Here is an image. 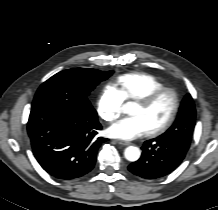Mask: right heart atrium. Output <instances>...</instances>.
<instances>
[{
  "label": "right heart atrium",
  "instance_id": "d8ad5b80",
  "mask_svg": "<svg viewBox=\"0 0 218 210\" xmlns=\"http://www.w3.org/2000/svg\"><path fill=\"white\" fill-rule=\"evenodd\" d=\"M124 101L112 86H106L100 93L96 110L98 115L107 122H113L123 113Z\"/></svg>",
  "mask_w": 218,
  "mask_h": 210
}]
</instances>
